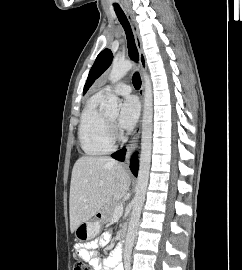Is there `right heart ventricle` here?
Masks as SVG:
<instances>
[{"mask_svg":"<svg viewBox=\"0 0 242 270\" xmlns=\"http://www.w3.org/2000/svg\"><path fill=\"white\" fill-rule=\"evenodd\" d=\"M104 97L94 95L87 102L78 130L79 144L85 154L90 156L104 155L114 145L111 140L107 116L101 109Z\"/></svg>","mask_w":242,"mask_h":270,"instance_id":"1","label":"right heart ventricle"}]
</instances>
